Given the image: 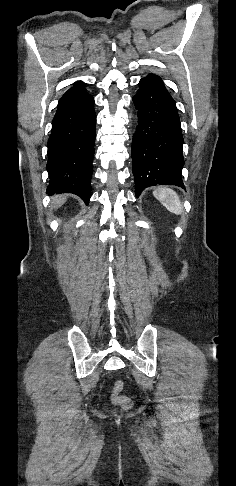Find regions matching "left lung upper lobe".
<instances>
[{
  "label": "left lung upper lobe",
  "instance_id": "5c2ea615",
  "mask_svg": "<svg viewBox=\"0 0 236 486\" xmlns=\"http://www.w3.org/2000/svg\"><path fill=\"white\" fill-rule=\"evenodd\" d=\"M148 77H152V78L161 80V78L159 76L154 75V74H149Z\"/></svg>",
  "mask_w": 236,
  "mask_h": 486
}]
</instances>
